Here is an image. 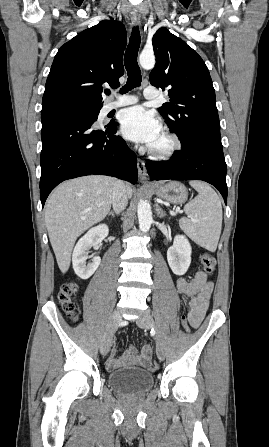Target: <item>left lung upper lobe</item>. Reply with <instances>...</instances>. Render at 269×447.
Listing matches in <instances>:
<instances>
[{
	"label": "left lung upper lobe",
	"mask_w": 269,
	"mask_h": 447,
	"mask_svg": "<svg viewBox=\"0 0 269 447\" xmlns=\"http://www.w3.org/2000/svg\"><path fill=\"white\" fill-rule=\"evenodd\" d=\"M156 65L152 85L168 88L170 103L159 109L183 148L210 139L221 142L212 80L202 58L183 40L160 28L152 39Z\"/></svg>",
	"instance_id": "left-lung-upper-lobe-1"
}]
</instances>
